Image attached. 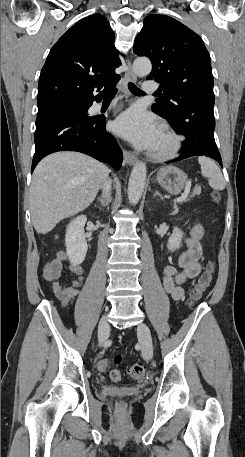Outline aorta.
I'll return each mask as SVG.
<instances>
[{
  "label": "aorta",
  "instance_id": "1",
  "mask_svg": "<svg viewBox=\"0 0 245 457\" xmlns=\"http://www.w3.org/2000/svg\"><path fill=\"white\" fill-rule=\"evenodd\" d=\"M152 64L148 58H137L133 63V71L138 77L150 74ZM146 164L137 162L131 171L128 182V199L130 204L136 205L143 193L146 183Z\"/></svg>",
  "mask_w": 245,
  "mask_h": 457
}]
</instances>
